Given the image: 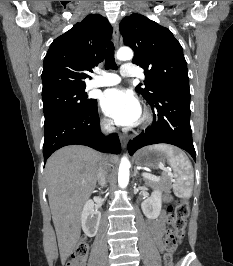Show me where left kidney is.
Segmentation results:
<instances>
[{"instance_id":"5707ae66","label":"left kidney","mask_w":233,"mask_h":266,"mask_svg":"<svg viewBox=\"0 0 233 266\" xmlns=\"http://www.w3.org/2000/svg\"><path fill=\"white\" fill-rule=\"evenodd\" d=\"M161 206L162 193L158 189H155L151 196L141 203L142 211L148 219H156L160 214Z\"/></svg>"}]
</instances>
